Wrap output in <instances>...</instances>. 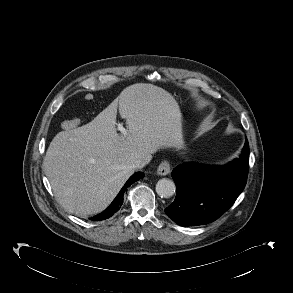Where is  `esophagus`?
I'll list each match as a JSON object with an SVG mask.
<instances>
[{
  "mask_svg": "<svg viewBox=\"0 0 293 293\" xmlns=\"http://www.w3.org/2000/svg\"><path fill=\"white\" fill-rule=\"evenodd\" d=\"M170 168L171 167L168 161H162L157 168V174L165 176L170 173Z\"/></svg>",
  "mask_w": 293,
  "mask_h": 293,
  "instance_id": "34e87169",
  "label": "esophagus"
}]
</instances>
